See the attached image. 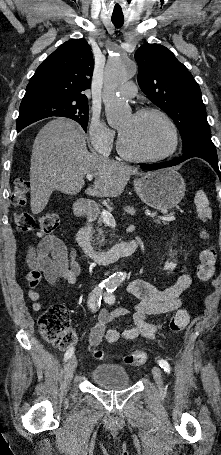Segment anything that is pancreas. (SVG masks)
Wrapping results in <instances>:
<instances>
[{
	"label": "pancreas",
	"mask_w": 221,
	"mask_h": 455,
	"mask_svg": "<svg viewBox=\"0 0 221 455\" xmlns=\"http://www.w3.org/2000/svg\"><path fill=\"white\" fill-rule=\"evenodd\" d=\"M103 224H104L103 218L101 215H99L97 223H96V232L95 231L92 232V234H94L93 243L98 246V249H100L102 243L104 242V238H105L104 231H103ZM163 224H167V223L165 221H163Z\"/></svg>",
	"instance_id": "pancreas-1"
}]
</instances>
